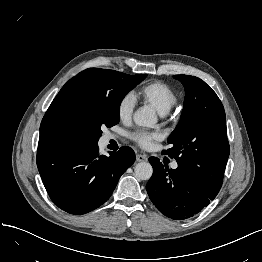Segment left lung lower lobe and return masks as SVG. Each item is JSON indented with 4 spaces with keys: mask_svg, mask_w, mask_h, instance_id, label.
<instances>
[{
    "mask_svg": "<svg viewBox=\"0 0 262 262\" xmlns=\"http://www.w3.org/2000/svg\"><path fill=\"white\" fill-rule=\"evenodd\" d=\"M153 175L146 185L149 198L165 216L184 220L198 214L215 197L179 167L169 169L158 158L150 157Z\"/></svg>",
    "mask_w": 262,
    "mask_h": 262,
    "instance_id": "1",
    "label": "left lung lower lobe"
}]
</instances>
